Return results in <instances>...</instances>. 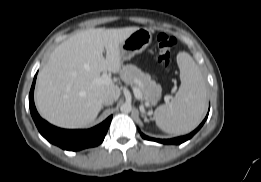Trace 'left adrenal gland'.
<instances>
[{"mask_svg":"<svg viewBox=\"0 0 261 182\" xmlns=\"http://www.w3.org/2000/svg\"><path fill=\"white\" fill-rule=\"evenodd\" d=\"M144 113V112H143ZM143 117H144V120L145 121H147L148 119H147V117H146V115H142Z\"/></svg>","mask_w":261,"mask_h":182,"instance_id":"a2214340","label":"left adrenal gland"}]
</instances>
